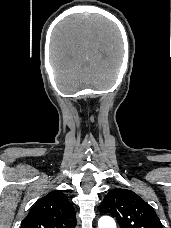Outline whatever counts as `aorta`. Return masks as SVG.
Instances as JSON below:
<instances>
[{"label": "aorta", "mask_w": 171, "mask_h": 228, "mask_svg": "<svg viewBox=\"0 0 171 228\" xmlns=\"http://www.w3.org/2000/svg\"><path fill=\"white\" fill-rule=\"evenodd\" d=\"M98 228H116V223L111 217L104 216L100 218Z\"/></svg>", "instance_id": "aorta-1"}]
</instances>
